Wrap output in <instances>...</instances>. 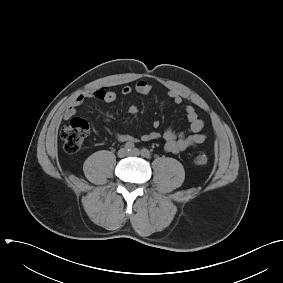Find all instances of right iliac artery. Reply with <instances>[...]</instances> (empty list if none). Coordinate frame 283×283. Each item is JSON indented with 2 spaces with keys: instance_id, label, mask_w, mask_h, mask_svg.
<instances>
[{
  "instance_id": "82829eb1",
  "label": "right iliac artery",
  "mask_w": 283,
  "mask_h": 283,
  "mask_svg": "<svg viewBox=\"0 0 283 283\" xmlns=\"http://www.w3.org/2000/svg\"><path fill=\"white\" fill-rule=\"evenodd\" d=\"M124 146H125V149H127L128 151H132L135 147L134 143H132V142H127V143H125Z\"/></svg>"
}]
</instances>
